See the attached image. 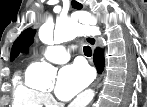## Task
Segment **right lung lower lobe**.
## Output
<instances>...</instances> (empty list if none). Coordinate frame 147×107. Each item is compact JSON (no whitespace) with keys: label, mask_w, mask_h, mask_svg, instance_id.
<instances>
[{"label":"right lung lower lobe","mask_w":147,"mask_h":107,"mask_svg":"<svg viewBox=\"0 0 147 107\" xmlns=\"http://www.w3.org/2000/svg\"><path fill=\"white\" fill-rule=\"evenodd\" d=\"M94 63L99 73L103 71L104 67V53L102 50L97 49L94 52Z\"/></svg>","instance_id":"98d812e1"}]
</instances>
